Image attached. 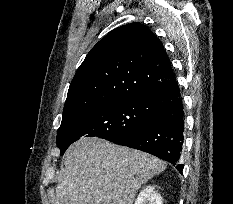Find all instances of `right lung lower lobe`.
I'll list each match as a JSON object with an SVG mask.
<instances>
[{
    "instance_id": "98d812e1",
    "label": "right lung lower lobe",
    "mask_w": 233,
    "mask_h": 204,
    "mask_svg": "<svg viewBox=\"0 0 233 204\" xmlns=\"http://www.w3.org/2000/svg\"><path fill=\"white\" fill-rule=\"evenodd\" d=\"M151 108L156 113L155 120L111 142L150 153L175 165L184 139L183 103L176 79L151 95ZM176 168L182 172L183 165L177 164Z\"/></svg>"
}]
</instances>
